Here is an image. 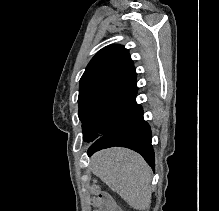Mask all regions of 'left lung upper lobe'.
<instances>
[{
	"mask_svg": "<svg viewBox=\"0 0 219 211\" xmlns=\"http://www.w3.org/2000/svg\"><path fill=\"white\" fill-rule=\"evenodd\" d=\"M136 76L124 46H106L92 58L80 79L78 97L84 141L94 142L109 134L134 105Z\"/></svg>",
	"mask_w": 219,
	"mask_h": 211,
	"instance_id": "left-lung-upper-lobe-1",
	"label": "left lung upper lobe"
}]
</instances>
